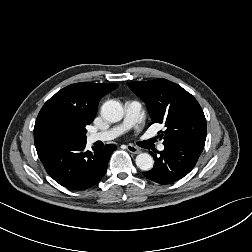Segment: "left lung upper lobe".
<instances>
[{"mask_svg":"<svg viewBox=\"0 0 252 252\" xmlns=\"http://www.w3.org/2000/svg\"><path fill=\"white\" fill-rule=\"evenodd\" d=\"M127 85L146 103L152 119L150 125H165L166 130L159 135L164 139V146L189 144L204 148L206 119L201 106L189 92L163 78Z\"/></svg>","mask_w":252,"mask_h":252,"instance_id":"1","label":"left lung upper lobe"}]
</instances>
